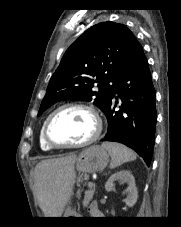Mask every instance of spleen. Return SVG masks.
<instances>
[{
  "mask_svg": "<svg viewBox=\"0 0 181 227\" xmlns=\"http://www.w3.org/2000/svg\"><path fill=\"white\" fill-rule=\"evenodd\" d=\"M104 147L111 156L110 168H116L125 162L136 159V154L126 146L116 142H103Z\"/></svg>",
  "mask_w": 181,
  "mask_h": 227,
  "instance_id": "3e777b00",
  "label": "spleen"
}]
</instances>
